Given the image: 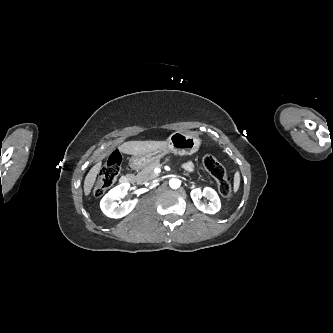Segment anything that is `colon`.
Wrapping results in <instances>:
<instances>
[{"label": "colon", "mask_w": 333, "mask_h": 333, "mask_svg": "<svg viewBox=\"0 0 333 333\" xmlns=\"http://www.w3.org/2000/svg\"><path fill=\"white\" fill-rule=\"evenodd\" d=\"M121 162L122 156L118 151L109 156L94 184L95 196H101L114 185L120 174ZM202 162L205 170L217 181L220 193L230 197L233 193L232 176L228 174L224 165L210 154L204 155Z\"/></svg>", "instance_id": "obj_1"}]
</instances>
